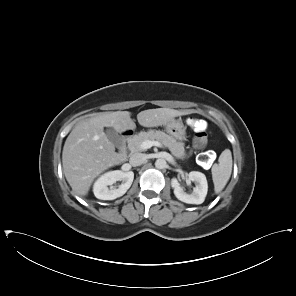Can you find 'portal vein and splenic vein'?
<instances>
[{
  "label": "portal vein and splenic vein",
  "instance_id": "obj_1",
  "mask_svg": "<svg viewBox=\"0 0 296 296\" xmlns=\"http://www.w3.org/2000/svg\"><path fill=\"white\" fill-rule=\"evenodd\" d=\"M152 146H157V147H160L161 146V143L158 142V141H151V140H145L141 143V148L143 150L145 149H149L151 148Z\"/></svg>",
  "mask_w": 296,
  "mask_h": 296
}]
</instances>
